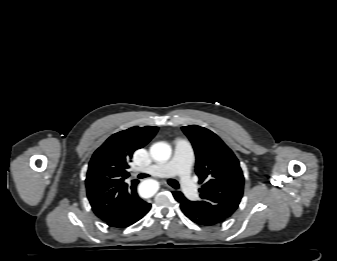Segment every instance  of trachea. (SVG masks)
Wrapping results in <instances>:
<instances>
[{
	"label": "trachea",
	"mask_w": 337,
	"mask_h": 261,
	"mask_svg": "<svg viewBox=\"0 0 337 261\" xmlns=\"http://www.w3.org/2000/svg\"><path fill=\"white\" fill-rule=\"evenodd\" d=\"M148 176H149V175H147V174H139V175H138V178L143 179V178H146V177H148ZM168 184H169L170 186H172L173 188H175V189H178V188H179L178 182H177L176 180H174V179L169 180V181H168Z\"/></svg>",
	"instance_id": "1"
}]
</instances>
